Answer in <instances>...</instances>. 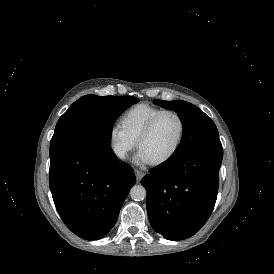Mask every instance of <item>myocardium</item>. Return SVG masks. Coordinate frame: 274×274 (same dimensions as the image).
<instances>
[{
    "label": "myocardium",
    "instance_id": "obj_1",
    "mask_svg": "<svg viewBox=\"0 0 274 274\" xmlns=\"http://www.w3.org/2000/svg\"><path fill=\"white\" fill-rule=\"evenodd\" d=\"M165 114H173L175 115L180 123V129H179V133L177 135L176 141L174 143V146L172 148V150L162 159L153 161V162H149V164L151 166H162L166 163H168L169 161H171L173 159V157L176 155V153L179 150V147L181 145V142L183 140L184 137V133H185V121L183 116L174 109H164L161 110L158 114H156L148 123L147 125L141 130V132L138 134V136L135 139V144H136V148H139L140 142L146 138L154 129V127L156 126V124L158 123L159 119L165 115Z\"/></svg>",
    "mask_w": 274,
    "mask_h": 274
}]
</instances>
